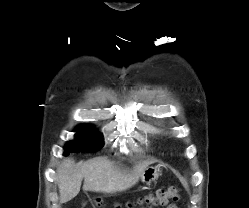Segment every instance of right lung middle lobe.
Masks as SVG:
<instances>
[{
    "instance_id": "1",
    "label": "right lung middle lobe",
    "mask_w": 249,
    "mask_h": 208,
    "mask_svg": "<svg viewBox=\"0 0 249 208\" xmlns=\"http://www.w3.org/2000/svg\"><path fill=\"white\" fill-rule=\"evenodd\" d=\"M76 139L65 146L64 155L75 151H95L103 147L102 136L88 125H83L77 130Z\"/></svg>"
}]
</instances>
